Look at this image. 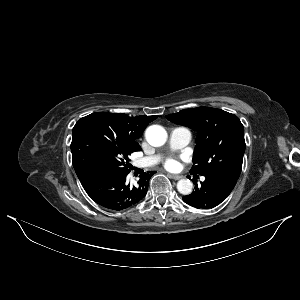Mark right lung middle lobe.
I'll list each match as a JSON object with an SVG mask.
<instances>
[{"instance_id": "obj_1", "label": "right lung middle lobe", "mask_w": 300, "mask_h": 300, "mask_svg": "<svg viewBox=\"0 0 300 300\" xmlns=\"http://www.w3.org/2000/svg\"><path fill=\"white\" fill-rule=\"evenodd\" d=\"M71 151L73 166L79 176L98 167L128 172L129 155L136 150L110 131L97 113H93L75 124Z\"/></svg>"}]
</instances>
